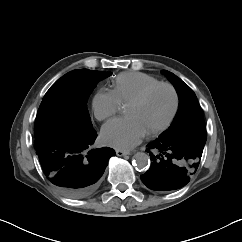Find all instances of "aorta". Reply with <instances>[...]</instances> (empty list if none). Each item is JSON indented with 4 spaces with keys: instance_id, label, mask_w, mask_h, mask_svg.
Masks as SVG:
<instances>
[{
    "instance_id": "obj_1",
    "label": "aorta",
    "mask_w": 242,
    "mask_h": 242,
    "mask_svg": "<svg viewBox=\"0 0 242 242\" xmlns=\"http://www.w3.org/2000/svg\"><path fill=\"white\" fill-rule=\"evenodd\" d=\"M133 158L134 165L140 170H145L150 165V158L144 152H137Z\"/></svg>"
}]
</instances>
